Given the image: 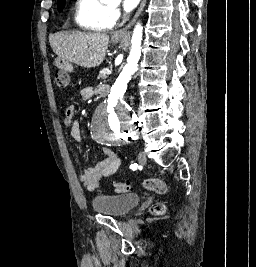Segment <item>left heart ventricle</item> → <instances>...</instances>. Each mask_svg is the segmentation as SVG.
I'll return each instance as SVG.
<instances>
[{
	"label": "left heart ventricle",
	"mask_w": 256,
	"mask_h": 267,
	"mask_svg": "<svg viewBox=\"0 0 256 267\" xmlns=\"http://www.w3.org/2000/svg\"><path fill=\"white\" fill-rule=\"evenodd\" d=\"M102 25L106 26L107 28H101L100 30H103L106 32V31L110 30L109 28L113 25V22L111 20H108V21L104 22Z\"/></svg>",
	"instance_id": "left-heart-ventricle-1"
}]
</instances>
